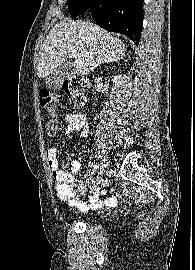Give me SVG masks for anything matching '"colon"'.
I'll list each match as a JSON object with an SVG mask.
<instances>
[{
    "instance_id": "colon-1",
    "label": "colon",
    "mask_w": 195,
    "mask_h": 270,
    "mask_svg": "<svg viewBox=\"0 0 195 270\" xmlns=\"http://www.w3.org/2000/svg\"><path fill=\"white\" fill-rule=\"evenodd\" d=\"M62 88L74 106L79 107L84 104L87 87L83 80L73 79L66 81L64 82ZM57 103L58 96L56 94L47 90L40 93V105L47 114L51 116L55 114ZM45 128L49 136H55L58 134L61 124L57 119L52 118L46 122ZM55 181L57 183V190L61 193H67L71 189L74 178L71 174L63 171V173L56 175Z\"/></svg>"
}]
</instances>
